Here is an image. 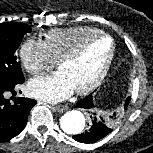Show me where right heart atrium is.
<instances>
[{
	"instance_id": "d8ad5b80",
	"label": "right heart atrium",
	"mask_w": 153,
	"mask_h": 153,
	"mask_svg": "<svg viewBox=\"0 0 153 153\" xmlns=\"http://www.w3.org/2000/svg\"><path fill=\"white\" fill-rule=\"evenodd\" d=\"M20 59L25 70L33 75H39L50 69L55 61L44 41L29 38L20 47Z\"/></svg>"
}]
</instances>
